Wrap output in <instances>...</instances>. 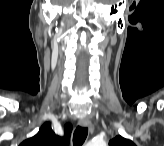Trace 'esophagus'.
I'll return each instance as SVG.
<instances>
[{
    "instance_id": "1",
    "label": "esophagus",
    "mask_w": 164,
    "mask_h": 146,
    "mask_svg": "<svg viewBox=\"0 0 164 146\" xmlns=\"http://www.w3.org/2000/svg\"><path fill=\"white\" fill-rule=\"evenodd\" d=\"M79 125L88 128L91 133L94 131V126L88 119H80Z\"/></svg>"
}]
</instances>
